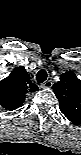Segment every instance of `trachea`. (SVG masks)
Listing matches in <instances>:
<instances>
[{
	"label": "trachea",
	"mask_w": 81,
	"mask_h": 155,
	"mask_svg": "<svg viewBox=\"0 0 81 155\" xmlns=\"http://www.w3.org/2000/svg\"><path fill=\"white\" fill-rule=\"evenodd\" d=\"M47 72L44 69H41L37 74H36V80L38 83H43L47 79Z\"/></svg>",
	"instance_id": "trachea-1"
}]
</instances>
